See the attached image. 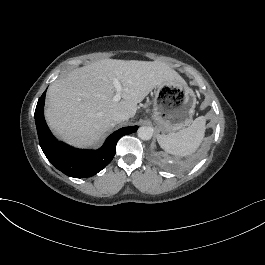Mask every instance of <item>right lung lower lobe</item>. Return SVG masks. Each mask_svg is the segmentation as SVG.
Returning <instances> with one entry per match:
<instances>
[{
  "label": "right lung lower lobe",
  "mask_w": 265,
  "mask_h": 265,
  "mask_svg": "<svg viewBox=\"0 0 265 265\" xmlns=\"http://www.w3.org/2000/svg\"><path fill=\"white\" fill-rule=\"evenodd\" d=\"M45 95L46 91L39 98L35 110L39 143L47 159L70 177L84 178L100 172L113 159L118 140L138 129V126H130L117 130L106 139L100 149L95 151L72 148L57 141L47 127L43 114Z\"/></svg>",
  "instance_id": "obj_1"
}]
</instances>
